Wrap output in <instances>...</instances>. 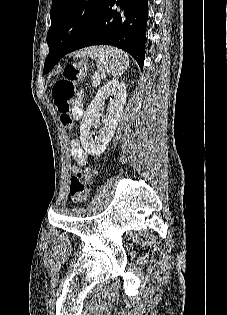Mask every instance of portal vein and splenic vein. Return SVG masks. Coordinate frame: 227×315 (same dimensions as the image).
<instances>
[{
	"label": "portal vein and splenic vein",
	"instance_id": "obj_1",
	"mask_svg": "<svg viewBox=\"0 0 227 315\" xmlns=\"http://www.w3.org/2000/svg\"><path fill=\"white\" fill-rule=\"evenodd\" d=\"M100 83V74L99 73H95L94 77H93V84H99Z\"/></svg>",
	"mask_w": 227,
	"mask_h": 315
}]
</instances>
